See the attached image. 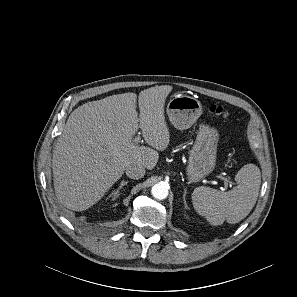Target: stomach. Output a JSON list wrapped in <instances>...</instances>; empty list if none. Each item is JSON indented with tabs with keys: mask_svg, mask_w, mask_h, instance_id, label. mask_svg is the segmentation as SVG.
Returning <instances> with one entry per match:
<instances>
[{
	"mask_svg": "<svg viewBox=\"0 0 297 297\" xmlns=\"http://www.w3.org/2000/svg\"><path fill=\"white\" fill-rule=\"evenodd\" d=\"M167 114L173 126L179 130L190 128L202 114L201 102L191 96L177 95L167 105ZM219 134L215 128L201 125L196 141L189 151L188 178L197 182L210 174L215 166Z\"/></svg>",
	"mask_w": 297,
	"mask_h": 297,
	"instance_id": "0dacf381",
	"label": "stomach"
}]
</instances>
